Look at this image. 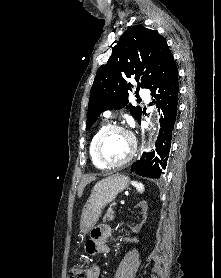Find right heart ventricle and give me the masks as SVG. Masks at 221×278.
<instances>
[{
    "instance_id": "e07e8e85",
    "label": "right heart ventricle",
    "mask_w": 221,
    "mask_h": 278,
    "mask_svg": "<svg viewBox=\"0 0 221 278\" xmlns=\"http://www.w3.org/2000/svg\"><path fill=\"white\" fill-rule=\"evenodd\" d=\"M107 126L105 124L101 125L96 131L95 133L93 134L91 140H90V143H89V155H90V159L93 163L94 166H96L97 168H104L96 159L95 157V152H94V149H95V143H96V140L98 138V136L100 135V133L106 128Z\"/></svg>"
}]
</instances>
